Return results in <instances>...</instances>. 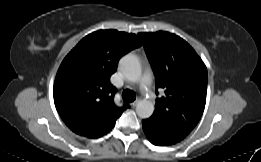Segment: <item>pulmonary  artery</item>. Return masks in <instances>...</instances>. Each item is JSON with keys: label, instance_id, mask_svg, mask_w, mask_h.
<instances>
[{"label": "pulmonary artery", "instance_id": "1", "mask_svg": "<svg viewBox=\"0 0 261 162\" xmlns=\"http://www.w3.org/2000/svg\"><path fill=\"white\" fill-rule=\"evenodd\" d=\"M150 80H151L150 72L146 71L142 75L141 80H140V88H141L142 91L145 92L148 89Z\"/></svg>", "mask_w": 261, "mask_h": 162}]
</instances>
